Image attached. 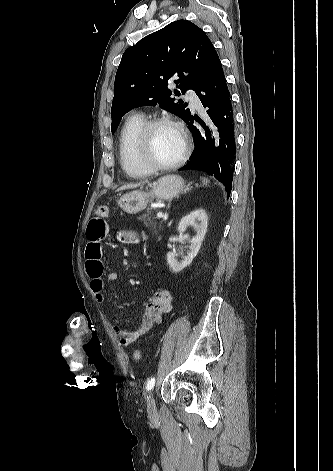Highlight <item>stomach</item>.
<instances>
[{
    "instance_id": "1",
    "label": "stomach",
    "mask_w": 333,
    "mask_h": 471,
    "mask_svg": "<svg viewBox=\"0 0 333 471\" xmlns=\"http://www.w3.org/2000/svg\"><path fill=\"white\" fill-rule=\"evenodd\" d=\"M186 185L182 177L178 175H166L157 180L149 192L136 190L122 195L118 200V206L126 213L137 214L144 210L149 202L154 199L168 201L177 197Z\"/></svg>"
}]
</instances>
